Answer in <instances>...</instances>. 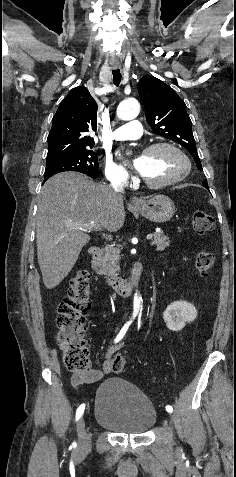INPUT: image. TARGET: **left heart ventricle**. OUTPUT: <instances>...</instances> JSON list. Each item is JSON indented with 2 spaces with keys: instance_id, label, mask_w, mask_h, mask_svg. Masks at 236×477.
Returning <instances> with one entry per match:
<instances>
[{
  "instance_id": "1",
  "label": "left heart ventricle",
  "mask_w": 236,
  "mask_h": 477,
  "mask_svg": "<svg viewBox=\"0 0 236 477\" xmlns=\"http://www.w3.org/2000/svg\"><path fill=\"white\" fill-rule=\"evenodd\" d=\"M139 173L151 182H163L184 171V160L169 148L143 154L136 162Z\"/></svg>"
}]
</instances>
